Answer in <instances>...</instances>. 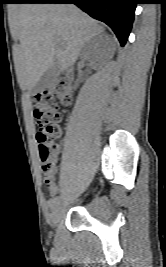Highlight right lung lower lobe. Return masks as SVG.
Here are the masks:
<instances>
[{"label": "right lung lower lobe", "instance_id": "obj_1", "mask_svg": "<svg viewBox=\"0 0 166 267\" xmlns=\"http://www.w3.org/2000/svg\"><path fill=\"white\" fill-rule=\"evenodd\" d=\"M20 3H74L93 18L110 26L124 46L138 0H22Z\"/></svg>", "mask_w": 166, "mask_h": 267}]
</instances>
